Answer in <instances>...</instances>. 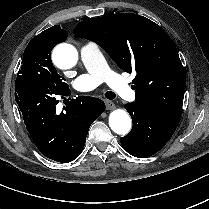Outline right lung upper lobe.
I'll list each match as a JSON object with an SVG mask.
<instances>
[{"instance_id":"1","label":"right lung upper lobe","mask_w":209,"mask_h":209,"mask_svg":"<svg viewBox=\"0 0 209 209\" xmlns=\"http://www.w3.org/2000/svg\"><path fill=\"white\" fill-rule=\"evenodd\" d=\"M50 33L52 35V37L54 38V41H55V46L58 44V43H61V42H64L67 38V32L65 30H62L60 28L59 25H55L45 31H43L42 33Z\"/></svg>"}]
</instances>
